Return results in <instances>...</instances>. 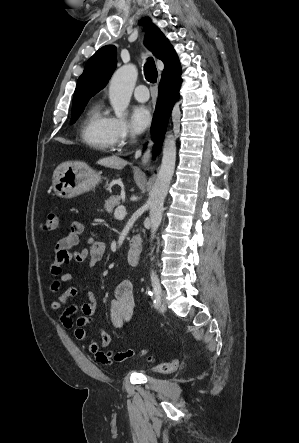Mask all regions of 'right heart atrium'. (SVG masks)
<instances>
[{
    "label": "right heart atrium",
    "mask_w": 299,
    "mask_h": 443,
    "mask_svg": "<svg viewBox=\"0 0 299 443\" xmlns=\"http://www.w3.org/2000/svg\"><path fill=\"white\" fill-rule=\"evenodd\" d=\"M110 135L114 146L123 145L133 136L127 121L118 117L110 119Z\"/></svg>",
    "instance_id": "right-heart-atrium-1"
}]
</instances>
